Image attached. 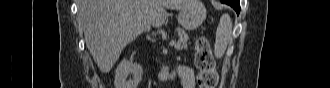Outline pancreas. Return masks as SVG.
I'll use <instances>...</instances> for the list:
<instances>
[{
	"instance_id": "1",
	"label": "pancreas",
	"mask_w": 330,
	"mask_h": 88,
	"mask_svg": "<svg viewBox=\"0 0 330 88\" xmlns=\"http://www.w3.org/2000/svg\"><path fill=\"white\" fill-rule=\"evenodd\" d=\"M177 33H178V36H179V40H178L175 48L177 50L186 49L187 46H188V40H189L188 34L185 32V30H183L181 28L177 29Z\"/></svg>"
}]
</instances>
